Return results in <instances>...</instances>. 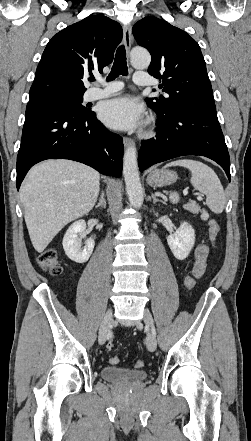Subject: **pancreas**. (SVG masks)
<instances>
[{
    "mask_svg": "<svg viewBox=\"0 0 251 441\" xmlns=\"http://www.w3.org/2000/svg\"><path fill=\"white\" fill-rule=\"evenodd\" d=\"M183 207L193 214H198L201 211L200 206L194 201L185 204Z\"/></svg>",
    "mask_w": 251,
    "mask_h": 441,
    "instance_id": "cf45deb5",
    "label": "pancreas"
}]
</instances>
